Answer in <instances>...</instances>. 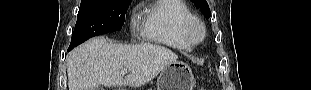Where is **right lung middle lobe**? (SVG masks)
<instances>
[{
    "label": "right lung middle lobe",
    "instance_id": "obj_1",
    "mask_svg": "<svg viewBox=\"0 0 311 90\" xmlns=\"http://www.w3.org/2000/svg\"><path fill=\"white\" fill-rule=\"evenodd\" d=\"M129 0H82L70 47L122 28Z\"/></svg>",
    "mask_w": 311,
    "mask_h": 90
}]
</instances>
